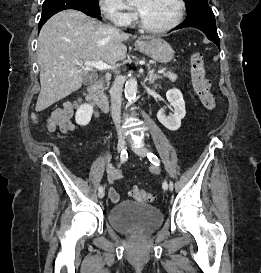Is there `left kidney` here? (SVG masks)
Returning <instances> with one entry per match:
<instances>
[{
    "label": "left kidney",
    "mask_w": 261,
    "mask_h": 273,
    "mask_svg": "<svg viewBox=\"0 0 261 273\" xmlns=\"http://www.w3.org/2000/svg\"><path fill=\"white\" fill-rule=\"evenodd\" d=\"M166 98L174 111L170 116H166L165 108H161L157 113L159 122L170 131H176L181 126V120L186 115L185 101L179 89L173 88L167 91Z\"/></svg>",
    "instance_id": "obj_1"
}]
</instances>
